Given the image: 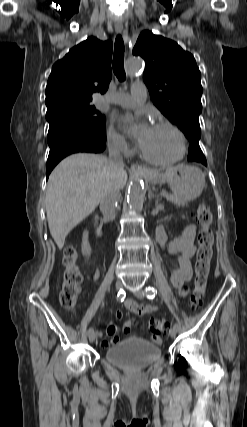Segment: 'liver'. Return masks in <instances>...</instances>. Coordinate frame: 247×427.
<instances>
[{
    "label": "liver",
    "mask_w": 247,
    "mask_h": 427,
    "mask_svg": "<svg viewBox=\"0 0 247 427\" xmlns=\"http://www.w3.org/2000/svg\"><path fill=\"white\" fill-rule=\"evenodd\" d=\"M126 182L124 168L113 167L103 155L77 153L62 160L49 176L45 200L49 230L58 248L108 189L120 190Z\"/></svg>",
    "instance_id": "obj_1"
}]
</instances>
